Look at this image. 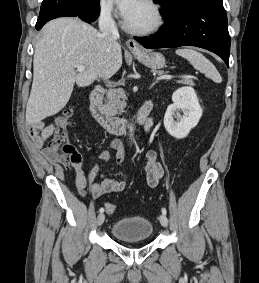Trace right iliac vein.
<instances>
[{"label":"right iliac vein","instance_id":"1","mask_svg":"<svg viewBox=\"0 0 259 283\" xmlns=\"http://www.w3.org/2000/svg\"><path fill=\"white\" fill-rule=\"evenodd\" d=\"M105 220V215L103 213H100L97 217V225L101 226Z\"/></svg>","mask_w":259,"mask_h":283}]
</instances>
